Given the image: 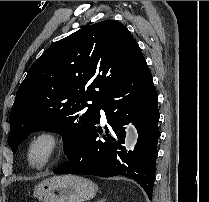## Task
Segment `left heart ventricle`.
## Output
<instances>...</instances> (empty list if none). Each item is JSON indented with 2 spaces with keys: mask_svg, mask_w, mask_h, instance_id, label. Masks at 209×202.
Instances as JSON below:
<instances>
[{
  "mask_svg": "<svg viewBox=\"0 0 209 202\" xmlns=\"http://www.w3.org/2000/svg\"><path fill=\"white\" fill-rule=\"evenodd\" d=\"M44 152L45 150L43 145H38L37 147H35L33 151L34 160L36 162H40L44 157Z\"/></svg>",
  "mask_w": 209,
  "mask_h": 202,
  "instance_id": "b2bd125f",
  "label": "left heart ventricle"
}]
</instances>
